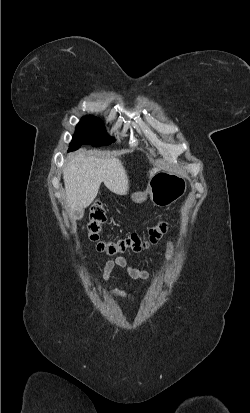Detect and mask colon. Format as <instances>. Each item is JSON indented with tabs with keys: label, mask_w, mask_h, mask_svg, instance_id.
<instances>
[{
	"label": "colon",
	"mask_w": 250,
	"mask_h": 413,
	"mask_svg": "<svg viewBox=\"0 0 250 413\" xmlns=\"http://www.w3.org/2000/svg\"><path fill=\"white\" fill-rule=\"evenodd\" d=\"M106 221V209L101 200L95 201L90 210L89 222L87 225L88 237L95 243L100 252L108 255L123 253L127 250L141 251L150 245L156 244L166 233L168 224L165 221H159L148 229L147 236L142 237L137 233H131L124 238L115 241H103L100 239L102 225Z\"/></svg>",
	"instance_id": "5ec220e1"
}]
</instances>
